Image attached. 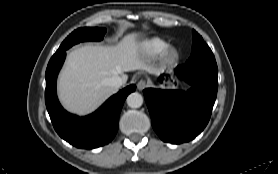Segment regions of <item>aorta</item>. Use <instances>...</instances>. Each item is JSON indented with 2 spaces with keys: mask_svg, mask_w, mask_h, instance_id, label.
<instances>
[{
  "mask_svg": "<svg viewBox=\"0 0 278 174\" xmlns=\"http://www.w3.org/2000/svg\"><path fill=\"white\" fill-rule=\"evenodd\" d=\"M126 102L131 108H139L143 104V97L138 92H133L127 97Z\"/></svg>",
  "mask_w": 278,
  "mask_h": 174,
  "instance_id": "aorta-1",
  "label": "aorta"
}]
</instances>
